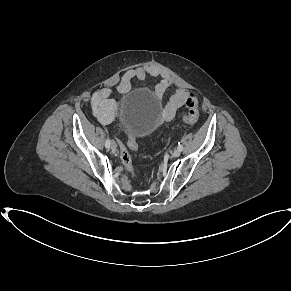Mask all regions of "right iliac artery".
<instances>
[{"label":"right iliac artery","mask_w":291,"mask_h":291,"mask_svg":"<svg viewBox=\"0 0 291 291\" xmlns=\"http://www.w3.org/2000/svg\"><path fill=\"white\" fill-rule=\"evenodd\" d=\"M110 139L109 138H107L106 139V141H105V146H106V148H109L110 147Z\"/></svg>","instance_id":"82829eb1"}]
</instances>
